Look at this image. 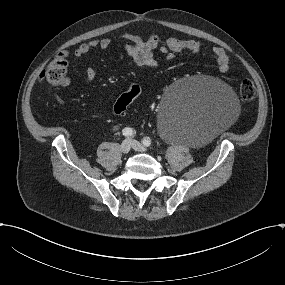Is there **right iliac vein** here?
<instances>
[{
    "instance_id": "63e3f726",
    "label": "right iliac vein",
    "mask_w": 285,
    "mask_h": 285,
    "mask_svg": "<svg viewBox=\"0 0 285 285\" xmlns=\"http://www.w3.org/2000/svg\"><path fill=\"white\" fill-rule=\"evenodd\" d=\"M130 148H131L130 142L127 140H124L121 144L122 153L127 154L130 151Z\"/></svg>"
}]
</instances>
